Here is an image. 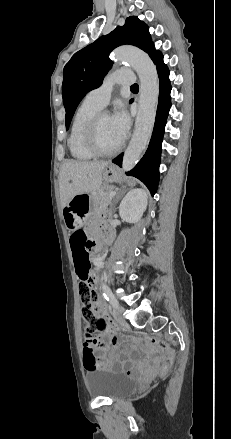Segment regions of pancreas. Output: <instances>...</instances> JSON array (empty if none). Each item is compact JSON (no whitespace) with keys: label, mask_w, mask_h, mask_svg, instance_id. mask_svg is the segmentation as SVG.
<instances>
[{"label":"pancreas","mask_w":231,"mask_h":439,"mask_svg":"<svg viewBox=\"0 0 231 439\" xmlns=\"http://www.w3.org/2000/svg\"><path fill=\"white\" fill-rule=\"evenodd\" d=\"M111 192L112 190L110 188H106L105 190L93 194L92 201L95 213H101L107 208L112 200V197L109 196Z\"/></svg>","instance_id":"cf45deb5"}]
</instances>
